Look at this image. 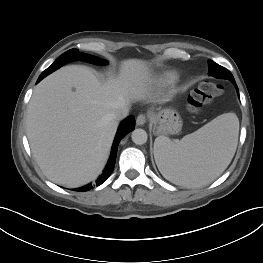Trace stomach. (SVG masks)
<instances>
[{"mask_svg": "<svg viewBox=\"0 0 263 263\" xmlns=\"http://www.w3.org/2000/svg\"><path fill=\"white\" fill-rule=\"evenodd\" d=\"M151 123L156 135L175 134L182 128L181 117L174 109H162L152 113Z\"/></svg>", "mask_w": 263, "mask_h": 263, "instance_id": "stomach-1", "label": "stomach"}]
</instances>
